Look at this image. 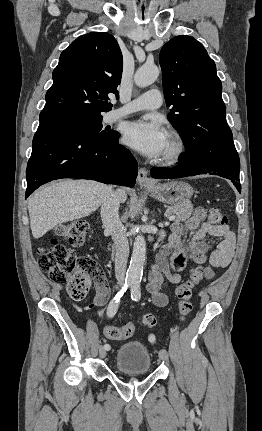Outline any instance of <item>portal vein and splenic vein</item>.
<instances>
[{"mask_svg": "<svg viewBox=\"0 0 262 431\" xmlns=\"http://www.w3.org/2000/svg\"><path fill=\"white\" fill-rule=\"evenodd\" d=\"M168 220H169V221H173V220H175V216H174V215L169 216V217H168ZM166 224H169V222H166Z\"/></svg>", "mask_w": 262, "mask_h": 431, "instance_id": "obj_1", "label": "portal vein and splenic vein"}]
</instances>
